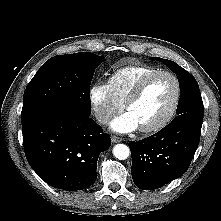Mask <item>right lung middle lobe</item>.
Returning <instances> with one entry per match:
<instances>
[{"label": "right lung middle lobe", "instance_id": "1", "mask_svg": "<svg viewBox=\"0 0 221 221\" xmlns=\"http://www.w3.org/2000/svg\"><path fill=\"white\" fill-rule=\"evenodd\" d=\"M102 56L81 52L47 60L26 87L21 122L54 106L91 113L90 84Z\"/></svg>", "mask_w": 221, "mask_h": 221}]
</instances>
